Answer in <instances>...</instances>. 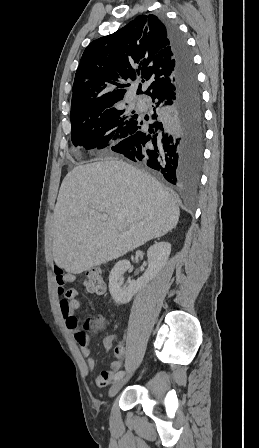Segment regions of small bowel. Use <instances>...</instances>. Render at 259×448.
Listing matches in <instances>:
<instances>
[{
  "mask_svg": "<svg viewBox=\"0 0 259 448\" xmlns=\"http://www.w3.org/2000/svg\"><path fill=\"white\" fill-rule=\"evenodd\" d=\"M55 281L58 287V292L63 294V298L59 302L60 312L68 329H70L75 336L83 357L86 359V369L93 371L96 367V362L91 356L89 346V337L80 329L79 321L75 315L80 308L79 292L74 288H66L68 284L75 282V276L65 273L60 267L54 268ZM114 336H106L103 340L105 349L110 350L113 346ZM125 349L123 345H118L114 348L115 360L110 364L108 369L102 371L95 377V383L99 387L108 385L115 374L119 372L122 366V358Z\"/></svg>",
  "mask_w": 259,
  "mask_h": 448,
  "instance_id": "obj_1",
  "label": "small bowel"
}]
</instances>
